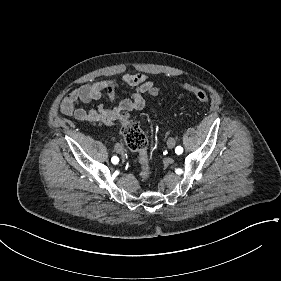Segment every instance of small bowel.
Returning <instances> with one entry per match:
<instances>
[{
  "label": "small bowel",
  "instance_id": "1",
  "mask_svg": "<svg viewBox=\"0 0 281 281\" xmlns=\"http://www.w3.org/2000/svg\"><path fill=\"white\" fill-rule=\"evenodd\" d=\"M119 86H128L134 89L130 98L121 100L112 108L99 106L93 109L78 107L79 103H88L99 100L103 92L114 101L116 89ZM154 83L144 73H124L120 79L108 78L84 84L66 95L61 104V111L67 116L82 122L102 123L112 125L118 120L127 117L133 110H141L145 106L144 94H151Z\"/></svg>",
  "mask_w": 281,
  "mask_h": 281
}]
</instances>
